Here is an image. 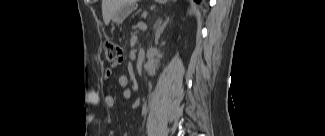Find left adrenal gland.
Masks as SVG:
<instances>
[{
    "label": "left adrenal gland",
    "mask_w": 325,
    "mask_h": 136,
    "mask_svg": "<svg viewBox=\"0 0 325 136\" xmlns=\"http://www.w3.org/2000/svg\"><path fill=\"white\" fill-rule=\"evenodd\" d=\"M168 21H169V18H167L166 21L162 23V20L159 19L155 23V26H154L155 27V44H158L159 38H160L161 34L163 33Z\"/></svg>",
    "instance_id": "a2214340"
}]
</instances>
